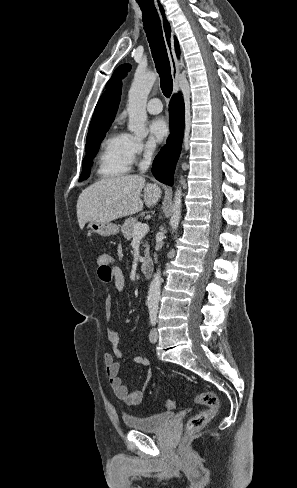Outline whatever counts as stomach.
Returning <instances> with one entry per match:
<instances>
[{
  "label": "stomach",
  "mask_w": 297,
  "mask_h": 488,
  "mask_svg": "<svg viewBox=\"0 0 297 488\" xmlns=\"http://www.w3.org/2000/svg\"><path fill=\"white\" fill-rule=\"evenodd\" d=\"M88 228L91 229L92 232L97 233L103 237L116 235L119 232V227L111 222H95L90 221L88 224Z\"/></svg>",
  "instance_id": "stomach-1"
}]
</instances>
